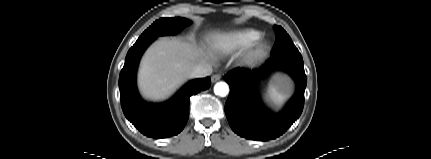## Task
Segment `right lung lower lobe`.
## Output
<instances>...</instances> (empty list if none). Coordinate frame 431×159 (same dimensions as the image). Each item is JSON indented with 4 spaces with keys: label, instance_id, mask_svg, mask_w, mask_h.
<instances>
[{
    "label": "right lung lower lobe",
    "instance_id": "1",
    "mask_svg": "<svg viewBox=\"0 0 431 159\" xmlns=\"http://www.w3.org/2000/svg\"><path fill=\"white\" fill-rule=\"evenodd\" d=\"M155 39L137 40L130 48L120 72L119 88L125 117L145 136L161 139L184 129L189 117V98L208 89L211 80L210 77L192 80L165 103L143 101L136 89V71L143 52Z\"/></svg>",
    "mask_w": 431,
    "mask_h": 159
}]
</instances>
